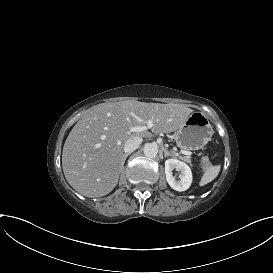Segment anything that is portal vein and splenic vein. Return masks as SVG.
Instances as JSON below:
<instances>
[{
  "label": "portal vein and splenic vein",
  "mask_w": 273,
  "mask_h": 273,
  "mask_svg": "<svg viewBox=\"0 0 273 273\" xmlns=\"http://www.w3.org/2000/svg\"><path fill=\"white\" fill-rule=\"evenodd\" d=\"M145 123L147 124L148 127H152L153 124H154V121L153 120H147V121H145ZM145 129H146V127H144V126H132V127L129 128L128 132L129 133L142 132ZM178 153L179 154H184V155H189V152L183 151L182 149H179Z\"/></svg>",
  "instance_id": "obj_1"
}]
</instances>
